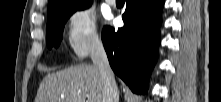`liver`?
I'll list each match as a JSON object with an SVG mask.
<instances>
[{
	"instance_id": "1",
	"label": "liver",
	"mask_w": 221,
	"mask_h": 102,
	"mask_svg": "<svg viewBox=\"0 0 221 102\" xmlns=\"http://www.w3.org/2000/svg\"><path fill=\"white\" fill-rule=\"evenodd\" d=\"M103 98L99 69L81 64L47 75L39 86L35 102H103Z\"/></svg>"
}]
</instances>
